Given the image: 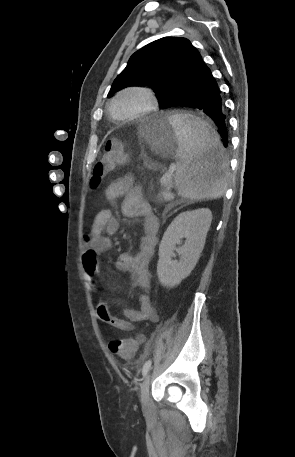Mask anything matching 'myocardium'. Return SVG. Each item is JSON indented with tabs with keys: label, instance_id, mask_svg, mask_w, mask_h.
<instances>
[{
	"label": "myocardium",
	"instance_id": "myocardium-1",
	"mask_svg": "<svg viewBox=\"0 0 295 457\" xmlns=\"http://www.w3.org/2000/svg\"><path fill=\"white\" fill-rule=\"evenodd\" d=\"M131 93L142 96L145 101L144 106L132 115L117 116L114 111V105H115L116 101L123 95L131 94ZM157 106H158L157 97L152 89H150L148 87H144V86H131V87L124 88L115 94V96L111 99V101L109 103V113H110L111 117L117 121H125V122L133 121V120H137V119H140V118H143V117L149 115L150 113H152L153 111L156 110Z\"/></svg>",
	"mask_w": 295,
	"mask_h": 457
}]
</instances>
